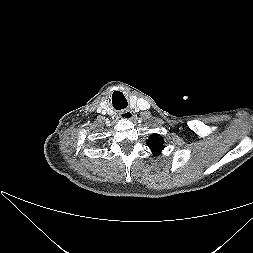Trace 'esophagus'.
<instances>
[{"mask_svg": "<svg viewBox=\"0 0 253 253\" xmlns=\"http://www.w3.org/2000/svg\"><path fill=\"white\" fill-rule=\"evenodd\" d=\"M121 118L125 119V120H133L134 119V115L132 114L131 111H125L123 113H121Z\"/></svg>", "mask_w": 253, "mask_h": 253, "instance_id": "obj_1", "label": "esophagus"}]
</instances>
